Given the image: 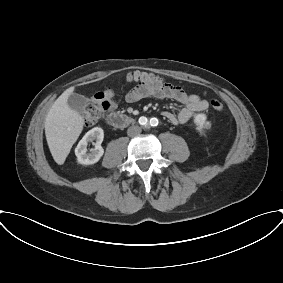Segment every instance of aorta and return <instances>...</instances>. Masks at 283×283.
Masks as SVG:
<instances>
[{"mask_svg":"<svg viewBox=\"0 0 283 283\" xmlns=\"http://www.w3.org/2000/svg\"><path fill=\"white\" fill-rule=\"evenodd\" d=\"M147 122V119H144V124Z\"/></svg>","mask_w":283,"mask_h":283,"instance_id":"762f6f07","label":"aorta"}]
</instances>
